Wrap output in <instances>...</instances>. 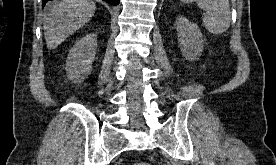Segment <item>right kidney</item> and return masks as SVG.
<instances>
[{
	"label": "right kidney",
	"mask_w": 276,
	"mask_h": 165,
	"mask_svg": "<svg viewBox=\"0 0 276 165\" xmlns=\"http://www.w3.org/2000/svg\"><path fill=\"white\" fill-rule=\"evenodd\" d=\"M97 47V34L90 33L76 41L71 48L67 61L66 73L69 80L81 83L92 70Z\"/></svg>",
	"instance_id": "1"
}]
</instances>
